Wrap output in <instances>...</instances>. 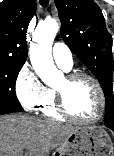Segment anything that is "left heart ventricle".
Masks as SVG:
<instances>
[{
	"mask_svg": "<svg viewBox=\"0 0 114 156\" xmlns=\"http://www.w3.org/2000/svg\"><path fill=\"white\" fill-rule=\"evenodd\" d=\"M63 90L68 110L81 119L93 118L99 109L97 91L87 79H79L73 83H67L63 78L57 85Z\"/></svg>",
	"mask_w": 114,
	"mask_h": 156,
	"instance_id": "b2bd125f",
	"label": "left heart ventricle"
}]
</instances>
